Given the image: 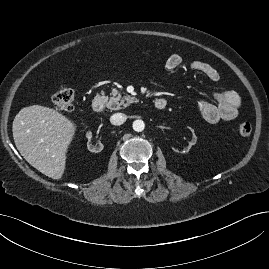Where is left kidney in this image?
I'll use <instances>...</instances> for the list:
<instances>
[{
    "label": "left kidney",
    "instance_id": "obj_1",
    "mask_svg": "<svg viewBox=\"0 0 269 269\" xmlns=\"http://www.w3.org/2000/svg\"><path fill=\"white\" fill-rule=\"evenodd\" d=\"M189 130L192 133V138H191V140L189 142V146L187 148H185V149H181L180 147L178 149L177 148H173V150L175 152H180V154H185V152L189 151L190 148H191V146L194 145L197 142V137H196V135L194 133V130L192 128H189Z\"/></svg>",
    "mask_w": 269,
    "mask_h": 269
}]
</instances>
